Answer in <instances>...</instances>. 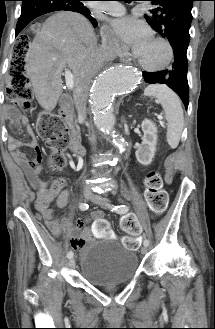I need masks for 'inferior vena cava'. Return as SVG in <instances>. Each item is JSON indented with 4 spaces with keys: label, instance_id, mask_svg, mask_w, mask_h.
Returning a JSON list of instances; mask_svg holds the SVG:
<instances>
[{
    "label": "inferior vena cava",
    "instance_id": "602c4592",
    "mask_svg": "<svg viewBox=\"0 0 215 329\" xmlns=\"http://www.w3.org/2000/svg\"><path fill=\"white\" fill-rule=\"evenodd\" d=\"M111 56V48L103 44L101 47L93 50L85 62L81 77L77 80L73 93L74 103L80 121H84L86 118V102L92 81L91 67L97 68L102 66L103 62Z\"/></svg>",
    "mask_w": 215,
    "mask_h": 329
}]
</instances>
